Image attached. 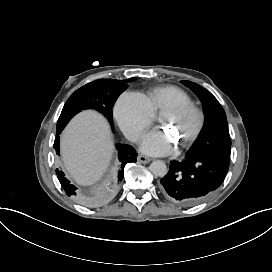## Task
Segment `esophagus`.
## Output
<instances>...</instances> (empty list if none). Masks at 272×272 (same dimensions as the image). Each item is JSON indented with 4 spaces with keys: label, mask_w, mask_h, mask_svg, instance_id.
Wrapping results in <instances>:
<instances>
[{
    "label": "esophagus",
    "mask_w": 272,
    "mask_h": 272,
    "mask_svg": "<svg viewBox=\"0 0 272 272\" xmlns=\"http://www.w3.org/2000/svg\"><path fill=\"white\" fill-rule=\"evenodd\" d=\"M137 160L140 162V163H149L151 161V159L147 156H144V155H138L137 157Z\"/></svg>",
    "instance_id": "1"
}]
</instances>
